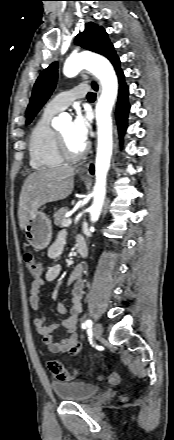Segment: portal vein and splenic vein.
Here are the masks:
<instances>
[{
    "instance_id": "1",
    "label": "portal vein and splenic vein",
    "mask_w": 174,
    "mask_h": 440,
    "mask_svg": "<svg viewBox=\"0 0 174 440\" xmlns=\"http://www.w3.org/2000/svg\"><path fill=\"white\" fill-rule=\"evenodd\" d=\"M71 223H72L71 219H65V220L63 221V226H64V227H67V226L71 225Z\"/></svg>"
}]
</instances>
